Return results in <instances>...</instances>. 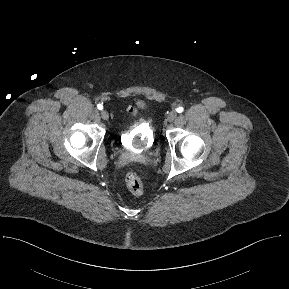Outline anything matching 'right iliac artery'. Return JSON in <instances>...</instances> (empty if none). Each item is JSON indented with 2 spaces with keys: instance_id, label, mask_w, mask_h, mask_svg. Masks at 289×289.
I'll return each instance as SVG.
<instances>
[{
  "instance_id": "1",
  "label": "right iliac artery",
  "mask_w": 289,
  "mask_h": 289,
  "mask_svg": "<svg viewBox=\"0 0 289 289\" xmlns=\"http://www.w3.org/2000/svg\"><path fill=\"white\" fill-rule=\"evenodd\" d=\"M97 108H98L99 110H102V109H103V105L99 103V104L97 105Z\"/></svg>"
}]
</instances>
